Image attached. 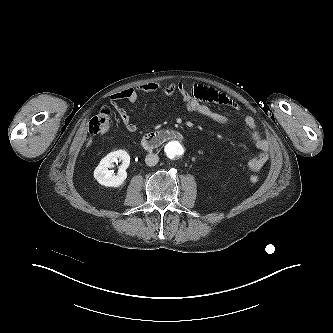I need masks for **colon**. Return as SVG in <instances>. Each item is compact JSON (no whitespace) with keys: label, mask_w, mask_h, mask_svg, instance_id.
<instances>
[{"label":"colon","mask_w":333,"mask_h":333,"mask_svg":"<svg viewBox=\"0 0 333 333\" xmlns=\"http://www.w3.org/2000/svg\"><path fill=\"white\" fill-rule=\"evenodd\" d=\"M113 124L112 110L104 106L100 109L96 116H94L89 124V130L92 134H103L110 130ZM259 177L257 175H251L250 181L257 183Z\"/></svg>","instance_id":"1"}]
</instances>
